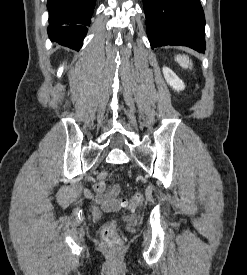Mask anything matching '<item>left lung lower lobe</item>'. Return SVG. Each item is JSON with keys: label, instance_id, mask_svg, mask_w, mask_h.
Returning <instances> with one entry per match:
<instances>
[{"label": "left lung lower lobe", "instance_id": "0a47b994", "mask_svg": "<svg viewBox=\"0 0 247 275\" xmlns=\"http://www.w3.org/2000/svg\"><path fill=\"white\" fill-rule=\"evenodd\" d=\"M152 49L166 45L205 51V17L199 0H143Z\"/></svg>", "mask_w": 247, "mask_h": 275}]
</instances>
